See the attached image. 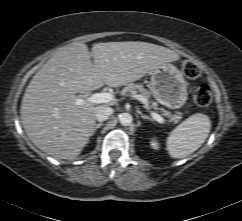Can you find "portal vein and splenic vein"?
Wrapping results in <instances>:
<instances>
[{"mask_svg":"<svg viewBox=\"0 0 242 221\" xmlns=\"http://www.w3.org/2000/svg\"><path fill=\"white\" fill-rule=\"evenodd\" d=\"M137 99H140L143 103L145 102V99H143L140 95L137 96ZM112 100H114L113 94L107 93V92H102V93H95L86 99L80 98L77 101L79 104H83L85 102L99 104V103H108ZM150 114L157 122H159L161 124H163L165 122L164 118L161 117L159 114H157L153 111H150Z\"/></svg>","mask_w":242,"mask_h":221,"instance_id":"1","label":"portal vein and splenic vein"}]
</instances>
